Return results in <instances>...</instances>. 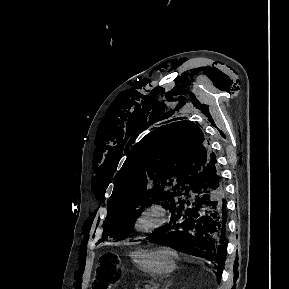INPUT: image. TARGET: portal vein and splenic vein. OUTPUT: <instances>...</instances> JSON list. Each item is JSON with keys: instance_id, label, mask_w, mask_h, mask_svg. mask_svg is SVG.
<instances>
[{"instance_id": "18ae733b", "label": "portal vein and splenic vein", "mask_w": 289, "mask_h": 289, "mask_svg": "<svg viewBox=\"0 0 289 289\" xmlns=\"http://www.w3.org/2000/svg\"><path fill=\"white\" fill-rule=\"evenodd\" d=\"M158 287V285H155V288H157Z\"/></svg>"}]
</instances>
